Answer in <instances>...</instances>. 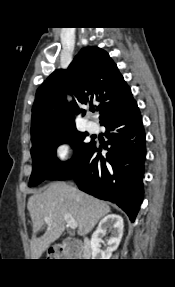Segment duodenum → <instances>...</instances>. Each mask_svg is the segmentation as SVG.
<instances>
[{
  "label": "duodenum",
  "instance_id": "obj_1",
  "mask_svg": "<svg viewBox=\"0 0 175 287\" xmlns=\"http://www.w3.org/2000/svg\"><path fill=\"white\" fill-rule=\"evenodd\" d=\"M81 250H82V255H86V256L89 255V245H88V241L86 239L83 242ZM81 250H80V252H81Z\"/></svg>",
  "mask_w": 175,
  "mask_h": 287
}]
</instances>
